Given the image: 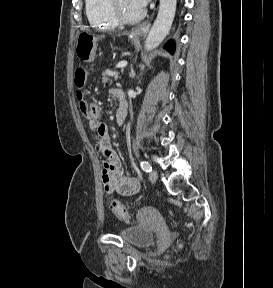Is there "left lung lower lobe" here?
Here are the masks:
<instances>
[{"label":"left lung lower lobe","mask_w":273,"mask_h":288,"mask_svg":"<svg viewBox=\"0 0 273 288\" xmlns=\"http://www.w3.org/2000/svg\"><path fill=\"white\" fill-rule=\"evenodd\" d=\"M174 43L172 41L168 42L166 45H165V49H167L170 53H173L174 52Z\"/></svg>","instance_id":"0a47b994"}]
</instances>
